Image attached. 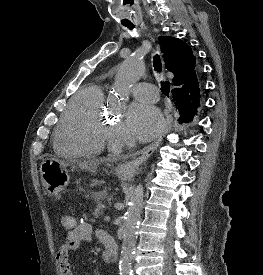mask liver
<instances>
[{
	"label": "liver",
	"instance_id": "6515ba94",
	"mask_svg": "<svg viewBox=\"0 0 263 275\" xmlns=\"http://www.w3.org/2000/svg\"><path fill=\"white\" fill-rule=\"evenodd\" d=\"M96 164H97V162H95V161L85 162V163L80 164V167L82 169L92 171L95 169Z\"/></svg>",
	"mask_w": 263,
	"mask_h": 275
}]
</instances>
